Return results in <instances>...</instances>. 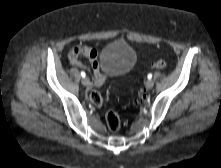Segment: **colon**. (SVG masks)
<instances>
[{
    "label": "colon",
    "instance_id": "colon-1",
    "mask_svg": "<svg viewBox=\"0 0 221 168\" xmlns=\"http://www.w3.org/2000/svg\"><path fill=\"white\" fill-rule=\"evenodd\" d=\"M166 66V62L164 60H157L152 64L153 68L162 69ZM90 102L96 106L101 107L103 104L102 95L99 92H92L90 94ZM145 99L144 92L140 93V100L143 101ZM106 124L110 131H117L121 126V120L117 112L113 110H108L105 115Z\"/></svg>",
    "mask_w": 221,
    "mask_h": 168
}]
</instances>
